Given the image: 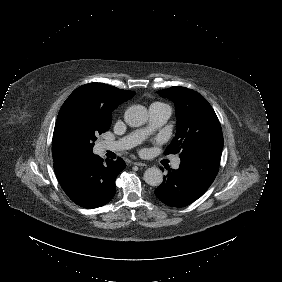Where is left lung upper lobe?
I'll list each match as a JSON object with an SVG mask.
<instances>
[{
  "mask_svg": "<svg viewBox=\"0 0 282 282\" xmlns=\"http://www.w3.org/2000/svg\"><path fill=\"white\" fill-rule=\"evenodd\" d=\"M159 95L176 106L177 134L165 154H180V159L201 150L222 152L223 135L219 120L207 100L185 87L160 90Z\"/></svg>",
  "mask_w": 282,
  "mask_h": 282,
  "instance_id": "1",
  "label": "left lung upper lobe"
}]
</instances>
